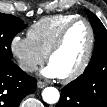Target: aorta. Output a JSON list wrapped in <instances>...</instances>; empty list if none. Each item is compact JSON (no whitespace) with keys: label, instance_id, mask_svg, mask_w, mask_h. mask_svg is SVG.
Returning a JSON list of instances; mask_svg holds the SVG:
<instances>
[{"label":"aorta","instance_id":"1","mask_svg":"<svg viewBox=\"0 0 107 107\" xmlns=\"http://www.w3.org/2000/svg\"><path fill=\"white\" fill-rule=\"evenodd\" d=\"M43 100L48 104H55L60 98L59 91L55 87H47L42 92Z\"/></svg>","mask_w":107,"mask_h":107}]
</instances>
